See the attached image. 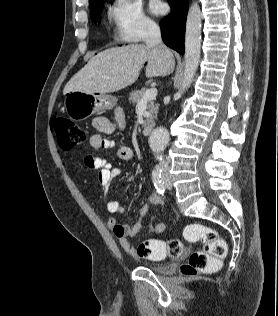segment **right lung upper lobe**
I'll list each match as a JSON object with an SVG mask.
<instances>
[{"instance_id": "cb5924a9", "label": "right lung upper lobe", "mask_w": 278, "mask_h": 316, "mask_svg": "<svg viewBox=\"0 0 278 316\" xmlns=\"http://www.w3.org/2000/svg\"><path fill=\"white\" fill-rule=\"evenodd\" d=\"M105 1V0H90V8L96 6L100 2Z\"/></svg>"}]
</instances>
